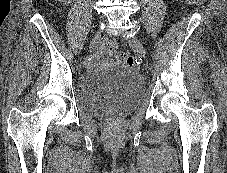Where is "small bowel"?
<instances>
[{"label":"small bowel","instance_id":"obj_1","mask_svg":"<svg viewBox=\"0 0 227 173\" xmlns=\"http://www.w3.org/2000/svg\"><path fill=\"white\" fill-rule=\"evenodd\" d=\"M102 49H103V45H102V46L100 47V49L96 52L95 57H94L95 60H98V59L101 57V55H102Z\"/></svg>","mask_w":227,"mask_h":173}]
</instances>
